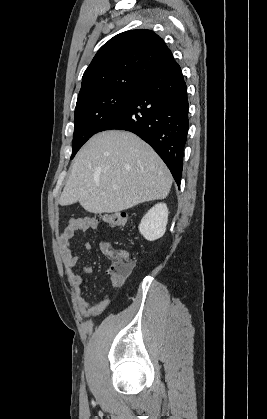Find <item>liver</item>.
Returning <instances> with one entry per match:
<instances>
[{
	"label": "liver",
	"mask_w": 267,
	"mask_h": 419,
	"mask_svg": "<svg viewBox=\"0 0 267 419\" xmlns=\"http://www.w3.org/2000/svg\"><path fill=\"white\" fill-rule=\"evenodd\" d=\"M172 175L156 152L131 132L110 130L93 136L78 152L59 204L79 202L88 212H120L164 199Z\"/></svg>",
	"instance_id": "liver-1"
}]
</instances>
